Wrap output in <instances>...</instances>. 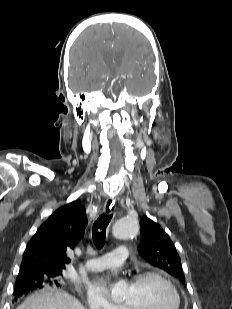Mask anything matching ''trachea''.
Wrapping results in <instances>:
<instances>
[{"label":"trachea","mask_w":232,"mask_h":309,"mask_svg":"<svg viewBox=\"0 0 232 309\" xmlns=\"http://www.w3.org/2000/svg\"><path fill=\"white\" fill-rule=\"evenodd\" d=\"M110 215H100L99 218L94 222L92 227V238L97 248H102L106 237V229L112 219Z\"/></svg>","instance_id":"3493384b"}]
</instances>
